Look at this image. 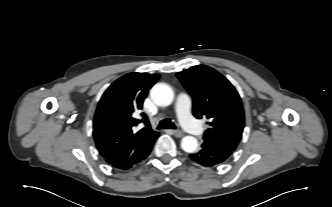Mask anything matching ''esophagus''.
Wrapping results in <instances>:
<instances>
[{
	"label": "esophagus",
	"mask_w": 332,
	"mask_h": 207,
	"mask_svg": "<svg viewBox=\"0 0 332 207\" xmlns=\"http://www.w3.org/2000/svg\"><path fill=\"white\" fill-rule=\"evenodd\" d=\"M172 133L175 137L181 138L184 136L183 132H181L180 130H172Z\"/></svg>",
	"instance_id": "1"
}]
</instances>
